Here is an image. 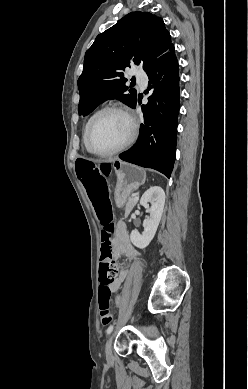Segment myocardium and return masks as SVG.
<instances>
[{
	"mask_svg": "<svg viewBox=\"0 0 248 389\" xmlns=\"http://www.w3.org/2000/svg\"><path fill=\"white\" fill-rule=\"evenodd\" d=\"M111 112L119 113V114L123 115L128 120V122L130 124V133H129L127 139L122 144L117 146L116 148L109 150V151H106V152L95 151L89 145V135H90L91 128L100 117H102L103 115H105L107 113H111ZM137 135H138V123H137V120L135 119V117L125 107L114 104V105H109V106L104 107L103 109L99 110L92 117V119L88 123L86 131H85L84 143H85L87 150L90 153L97 155V156H101V157H107V156L115 155V154L123 151L127 147H129L134 142Z\"/></svg>",
	"mask_w": 248,
	"mask_h": 389,
	"instance_id": "myocardium-1",
	"label": "myocardium"
}]
</instances>
